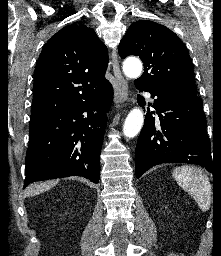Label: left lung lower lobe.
<instances>
[{
  "mask_svg": "<svg viewBox=\"0 0 221 256\" xmlns=\"http://www.w3.org/2000/svg\"><path fill=\"white\" fill-rule=\"evenodd\" d=\"M138 90L151 93L152 105L159 119L148 112L138 137L135 172L139 178L151 167L161 163H189L214 172L210 141L206 134V117L198 96L153 91L135 84ZM143 107L145 100L137 96Z\"/></svg>",
  "mask_w": 221,
  "mask_h": 256,
  "instance_id": "0a47b994",
  "label": "left lung lower lobe"
}]
</instances>
